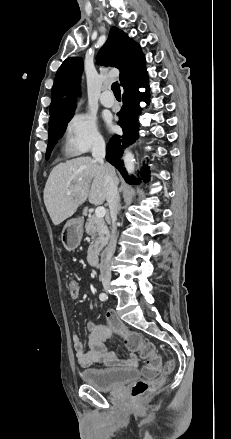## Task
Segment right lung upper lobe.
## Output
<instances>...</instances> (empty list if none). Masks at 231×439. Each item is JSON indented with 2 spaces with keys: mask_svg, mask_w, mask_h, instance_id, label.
<instances>
[{
  "mask_svg": "<svg viewBox=\"0 0 231 439\" xmlns=\"http://www.w3.org/2000/svg\"><path fill=\"white\" fill-rule=\"evenodd\" d=\"M97 59L101 65L120 70L119 79L124 90L147 75L145 57L140 46L117 27L111 28L108 40L99 51ZM82 68L80 58L69 57L58 69L51 93L50 127L73 117L74 95L79 92Z\"/></svg>",
  "mask_w": 231,
  "mask_h": 439,
  "instance_id": "1",
  "label": "right lung upper lobe"
}]
</instances>
